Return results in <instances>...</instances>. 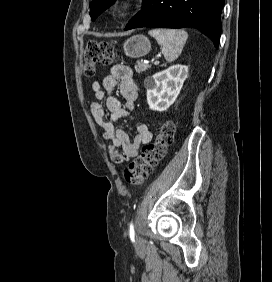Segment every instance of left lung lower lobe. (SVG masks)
Masks as SVG:
<instances>
[{
    "instance_id": "0a47b994",
    "label": "left lung lower lobe",
    "mask_w": 272,
    "mask_h": 282,
    "mask_svg": "<svg viewBox=\"0 0 272 282\" xmlns=\"http://www.w3.org/2000/svg\"><path fill=\"white\" fill-rule=\"evenodd\" d=\"M223 5L224 0H143V8L125 30L193 27L208 36L218 48Z\"/></svg>"
}]
</instances>
